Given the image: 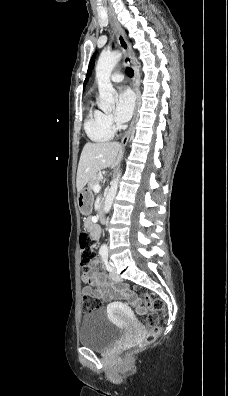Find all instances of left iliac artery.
I'll return each instance as SVG.
<instances>
[{
  "label": "left iliac artery",
  "mask_w": 228,
  "mask_h": 396,
  "mask_svg": "<svg viewBox=\"0 0 228 396\" xmlns=\"http://www.w3.org/2000/svg\"><path fill=\"white\" fill-rule=\"evenodd\" d=\"M101 257H102V260H103V262H104V264L106 266V269L108 271H111L112 267H111L110 263L108 262V253L107 252H102L101 253Z\"/></svg>",
  "instance_id": "left-iliac-artery-1"
}]
</instances>
